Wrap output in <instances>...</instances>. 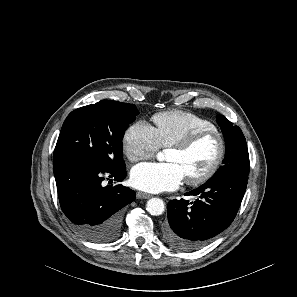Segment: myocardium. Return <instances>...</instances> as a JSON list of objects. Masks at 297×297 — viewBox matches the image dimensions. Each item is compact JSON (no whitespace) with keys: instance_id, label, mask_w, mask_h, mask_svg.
Segmentation results:
<instances>
[{"instance_id":"1","label":"myocardium","mask_w":297,"mask_h":297,"mask_svg":"<svg viewBox=\"0 0 297 297\" xmlns=\"http://www.w3.org/2000/svg\"><path fill=\"white\" fill-rule=\"evenodd\" d=\"M210 136H214L219 142L218 156L206 171H204L199 175L186 178V183L188 185H198V184L205 183L208 180H210L220 169L227 154V143L224 136L222 135L221 132H219L216 129H205V130L196 131L184 138L178 139L168 146L169 149L174 148L182 151H187L202 139Z\"/></svg>"}]
</instances>
